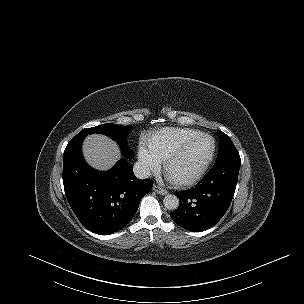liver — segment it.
<instances>
[{
  "mask_svg": "<svg viewBox=\"0 0 304 304\" xmlns=\"http://www.w3.org/2000/svg\"><path fill=\"white\" fill-rule=\"evenodd\" d=\"M83 155L87 163L98 170H108L121 158L117 144L110 138L93 134L84 140Z\"/></svg>",
  "mask_w": 304,
  "mask_h": 304,
  "instance_id": "liver-1",
  "label": "liver"
}]
</instances>
